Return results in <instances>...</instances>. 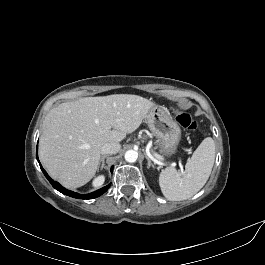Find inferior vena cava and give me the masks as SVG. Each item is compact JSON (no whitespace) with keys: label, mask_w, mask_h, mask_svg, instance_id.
<instances>
[{"label":"inferior vena cava","mask_w":265,"mask_h":265,"mask_svg":"<svg viewBox=\"0 0 265 265\" xmlns=\"http://www.w3.org/2000/svg\"><path fill=\"white\" fill-rule=\"evenodd\" d=\"M120 150V145L117 143H106L101 148L102 154H116Z\"/></svg>","instance_id":"obj_1"}]
</instances>
